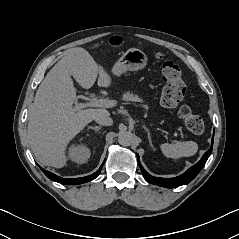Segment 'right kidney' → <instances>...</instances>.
Instances as JSON below:
<instances>
[{"label":"right kidney","mask_w":239,"mask_h":239,"mask_svg":"<svg viewBox=\"0 0 239 239\" xmlns=\"http://www.w3.org/2000/svg\"><path fill=\"white\" fill-rule=\"evenodd\" d=\"M68 153L70 160L78 164L86 163L91 155V151L86 145L75 143L69 147Z\"/></svg>","instance_id":"ca27d5eb"}]
</instances>
